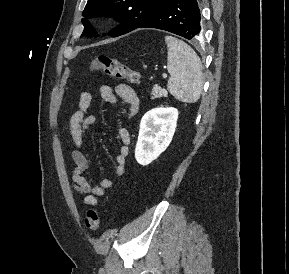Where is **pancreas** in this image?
Returning <instances> with one entry per match:
<instances>
[{"instance_id":"pancreas-1","label":"pancreas","mask_w":289,"mask_h":274,"mask_svg":"<svg viewBox=\"0 0 289 274\" xmlns=\"http://www.w3.org/2000/svg\"><path fill=\"white\" fill-rule=\"evenodd\" d=\"M152 99L160 98V97H167V91L165 89H162L160 86L155 85L153 87V90L151 92Z\"/></svg>"}]
</instances>
